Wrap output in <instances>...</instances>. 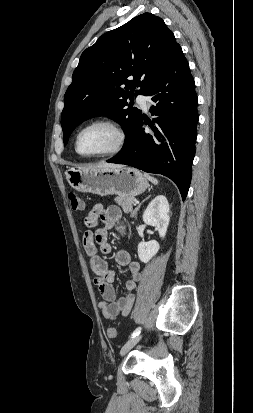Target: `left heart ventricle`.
<instances>
[{"instance_id": "left-heart-ventricle-1", "label": "left heart ventricle", "mask_w": 253, "mask_h": 413, "mask_svg": "<svg viewBox=\"0 0 253 413\" xmlns=\"http://www.w3.org/2000/svg\"><path fill=\"white\" fill-rule=\"evenodd\" d=\"M117 135L105 125H95L82 132L79 138V150L83 154L105 152L115 146Z\"/></svg>"}]
</instances>
